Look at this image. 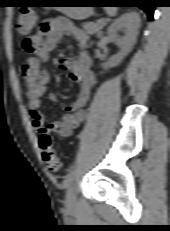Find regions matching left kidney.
I'll return each instance as SVG.
<instances>
[{
	"instance_id": "obj_1",
	"label": "left kidney",
	"mask_w": 170,
	"mask_h": 231,
	"mask_svg": "<svg viewBox=\"0 0 170 231\" xmlns=\"http://www.w3.org/2000/svg\"><path fill=\"white\" fill-rule=\"evenodd\" d=\"M140 26V17L137 13H126L119 17L109 28V38L117 44L120 52L112 56L107 62L102 64L104 69L115 67L131 51L136 42ZM124 30V36H120L119 31Z\"/></svg>"
}]
</instances>
